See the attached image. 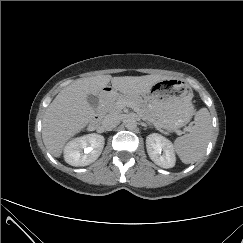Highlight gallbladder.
<instances>
[{"mask_svg": "<svg viewBox=\"0 0 243 243\" xmlns=\"http://www.w3.org/2000/svg\"><path fill=\"white\" fill-rule=\"evenodd\" d=\"M87 101L90 104V106L94 109L97 108L99 105V98L96 95H92V94L88 95Z\"/></svg>", "mask_w": 243, "mask_h": 243, "instance_id": "bac80fb5", "label": "gallbladder"}]
</instances>
